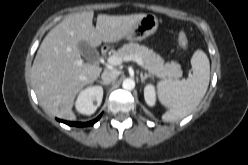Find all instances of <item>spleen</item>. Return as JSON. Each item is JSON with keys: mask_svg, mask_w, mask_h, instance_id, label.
Masks as SVG:
<instances>
[{"mask_svg": "<svg viewBox=\"0 0 248 165\" xmlns=\"http://www.w3.org/2000/svg\"><path fill=\"white\" fill-rule=\"evenodd\" d=\"M193 75L183 80H163L157 85L160 103L168 108L163 121H176L189 115L202 101L210 80V63L202 50L191 58Z\"/></svg>", "mask_w": 248, "mask_h": 165, "instance_id": "1", "label": "spleen"}]
</instances>
